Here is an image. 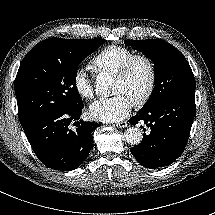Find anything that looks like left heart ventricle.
Here are the masks:
<instances>
[{
  "mask_svg": "<svg viewBox=\"0 0 215 215\" xmlns=\"http://www.w3.org/2000/svg\"><path fill=\"white\" fill-rule=\"evenodd\" d=\"M147 83L148 68L143 61H137L127 77L120 79L114 76L112 93H123L130 97L134 103L144 94Z\"/></svg>",
  "mask_w": 215,
  "mask_h": 215,
  "instance_id": "b2bd125f",
  "label": "left heart ventricle"
}]
</instances>
